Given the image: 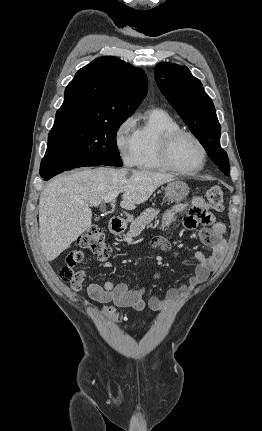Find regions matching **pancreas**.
Here are the masks:
<instances>
[{
	"label": "pancreas",
	"instance_id": "pancreas-1",
	"mask_svg": "<svg viewBox=\"0 0 262 431\" xmlns=\"http://www.w3.org/2000/svg\"><path fill=\"white\" fill-rule=\"evenodd\" d=\"M159 214V210L154 208H147L135 220L131 221L130 230L125 235L126 239L137 237L145 229V227L154 220Z\"/></svg>",
	"mask_w": 262,
	"mask_h": 431
}]
</instances>
